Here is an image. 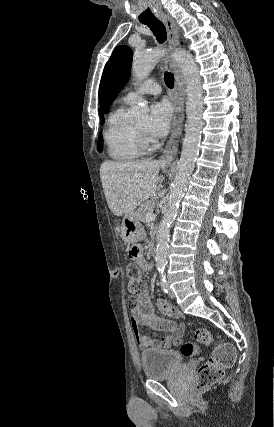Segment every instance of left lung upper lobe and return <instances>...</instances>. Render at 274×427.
Masks as SVG:
<instances>
[{
	"mask_svg": "<svg viewBox=\"0 0 274 427\" xmlns=\"http://www.w3.org/2000/svg\"><path fill=\"white\" fill-rule=\"evenodd\" d=\"M131 61L132 50L122 45L116 47L106 63L99 86V101L104 113L109 112L113 100L127 83ZM101 121L103 122V118Z\"/></svg>",
	"mask_w": 274,
	"mask_h": 427,
	"instance_id": "left-lung-upper-lobe-1",
	"label": "left lung upper lobe"
}]
</instances>
